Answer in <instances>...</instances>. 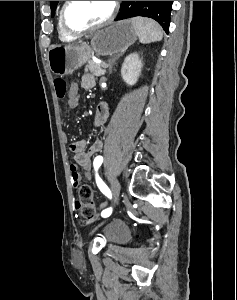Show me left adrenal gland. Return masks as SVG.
<instances>
[{"label": "left adrenal gland", "instance_id": "a2214340", "mask_svg": "<svg viewBox=\"0 0 237 300\" xmlns=\"http://www.w3.org/2000/svg\"><path fill=\"white\" fill-rule=\"evenodd\" d=\"M119 57H120V55H117V57H115V59H112V61H110V63H109V65H110V67H109V75H111V73H112V67H113L116 59H119Z\"/></svg>", "mask_w": 237, "mask_h": 300}]
</instances>
